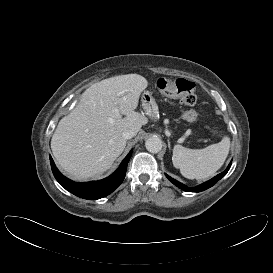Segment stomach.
Listing matches in <instances>:
<instances>
[{
	"label": "stomach",
	"instance_id": "obj_1",
	"mask_svg": "<svg viewBox=\"0 0 273 273\" xmlns=\"http://www.w3.org/2000/svg\"><path fill=\"white\" fill-rule=\"evenodd\" d=\"M155 85L158 88V90L162 93L169 92L174 86L173 82L165 77L158 78L155 82ZM141 102L146 115H148L153 120L158 119L159 116L158 106L154 97L152 96V93L145 91L142 94Z\"/></svg>",
	"mask_w": 273,
	"mask_h": 273
}]
</instances>
